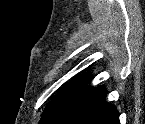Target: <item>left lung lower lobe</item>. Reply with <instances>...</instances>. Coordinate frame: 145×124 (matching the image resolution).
I'll return each instance as SVG.
<instances>
[{"mask_svg":"<svg viewBox=\"0 0 145 124\" xmlns=\"http://www.w3.org/2000/svg\"><path fill=\"white\" fill-rule=\"evenodd\" d=\"M105 97L103 87L84 86L46 124H120L116 108Z\"/></svg>","mask_w":145,"mask_h":124,"instance_id":"left-lung-lower-lobe-1","label":"left lung lower lobe"}]
</instances>
